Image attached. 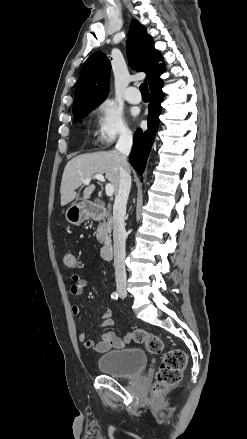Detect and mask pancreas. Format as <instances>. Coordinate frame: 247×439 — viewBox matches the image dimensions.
Returning <instances> with one entry per match:
<instances>
[{"mask_svg": "<svg viewBox=\"0 0 247 439\" xmlns=\"http://www.w3.org/2000/svg\"><path fill=\"white\" fill-rule=\"evenodd\" d=\"M112 229V219L108 216V221L100 223L97 227L96 238L99 242L110 240V234Z\"/></svg>", "mask_w": 247, "mask_h": 439, "instance_id": "cf45deb5", "label": "pancreas"}]
</instances>
